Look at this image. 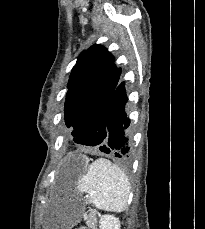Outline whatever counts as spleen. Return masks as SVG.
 Segmentation results:
<instances>
[{
  "mask_svg": "<svg viewBox=\"0 0 205 229\" xmlns=\"http://www.w3.org/2000/svg\"><path fill=\"white\" fill-rule=\"evenodd\" d=\"M77 189L87 193V203L105 211L122 212L127 208L130 182L125 173L108 160L99 158L80 176Z\"/></svg>",
  "mask_w": 205,
  "mask_h": 229,
  "instance_id": "obj_1",
  "label": "spleen"
}]
</instances>
